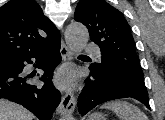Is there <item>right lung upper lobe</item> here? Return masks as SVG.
Wrapping results in <instances>:
<instances>
[{"label": "right lung upper lobe", "mask_w": 165, "mask_h": 120, "mask_svg": "<svg viewBox=\"0 0 165 120\" xmlns=\"http://www.w3.org/2000/svg\"><path fill=\"white\" fill-rule=\"evenodd\" d=\"M60 37L35 0H11L0 7V64Z\"/></svg>", "instance_id": "right-lung-upper-lobe-1"}]
</instances>
